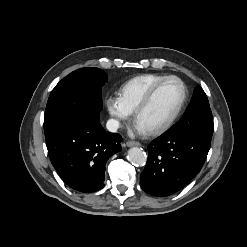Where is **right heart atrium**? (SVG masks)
<instances>
[{"label": "right heart atrium", "mask_w": 247, "mask_h": 247, "mask_svg": "<svg viewBox=\"0 0 247 247\" xmlns=\"http://www.w3.org/2000/svg\"><path fill=\"white\" fill-rule=\"evenodd\" d=\"M106 109L113 119V125L119 126L130 117V112L124 107L121 100L117 96H109L105 101Z\"/></svg>", "instance_id": "obj_1"}]
</instances>
